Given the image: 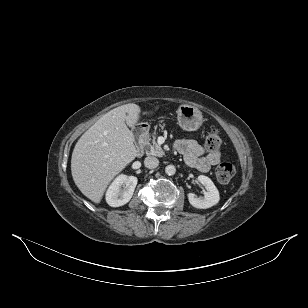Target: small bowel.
<instances>
[{
    "mask_svg": "<svg viewBox=\"0 0 308 308\" xmlns=\"http://www.w3.org/2000/svg\"><path fill=\"white\" fill-rule=\"evenodd\" d=\"M177 152L183 155L186 164L200 172H207L221 159L219 151L205 153V149L193 137L181 139L175 143Z\"/></svg>",
    "mask_w": 308,
    "mask_h": 308,
    "instance_id": "small-bowel-1",
    "label": "small bowel"
}]
</instances>
